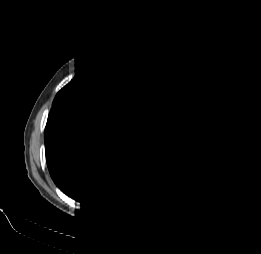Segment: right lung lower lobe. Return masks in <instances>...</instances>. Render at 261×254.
I'll return each mask as SVG.
<instances>
[{"instance_id": "98d812e1", "label": "right lung lower lobe", "mask_w": 261, "mask_h": 254, "mask_svg": "<svg viewBox=\"0 0 261 254\" xmlns=\"http://www.w3.org/2000/svg\"><path fill=\"white\" fill-rule=\"evenodd\" d=\"M106 133L91 129L79 121L48 117L45 128V151L50 175L68 196L80 202L101 197L114 174V161L94 158L96 146L102 145ZM100 160V164L96 161Z\"/></svg>"}]
</instances>
